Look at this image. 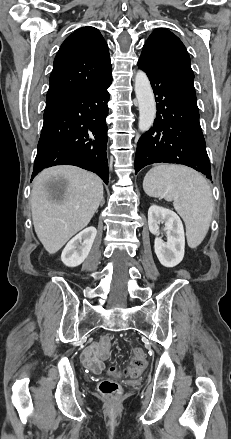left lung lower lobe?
<instances>
[{
  "mask_svg": "<svg viewBox=\"0 0 231 439\" xmlns=\"http://www.w3.org/2000/svg\"><path fill=\"white\" fill-rule=\"evenodd\" d=\"M138 67L151 81L157 117L138 141L135 173L153 163H177L212 179L195 92L148 53H141Z\"/></svg>",
  "mask_w": 231,
  "mask_h": 439,
  "instance_id": "obj_1",
  "label": "left lung lower lobe"
}]
</instances>
